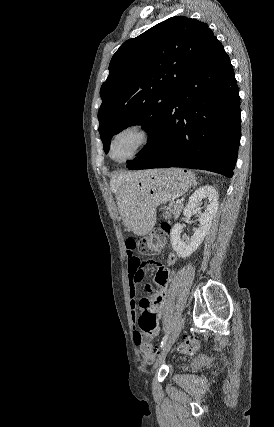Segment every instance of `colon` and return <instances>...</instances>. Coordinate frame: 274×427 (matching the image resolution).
Instances as JSON below:
<instances>
[{
    "label": "colon",
    "instance_id": "obj_1",
    "mask_svg": "<svg viewBox=\"0 0 274 427\" xmlns=\"http://www.w3.org/2000/svg\"><path fill=\"white\" fill-rule=\"evenodd\" d=\"M170 226L168 223H161L155 227L151 232L140 239V244L137 245V253L141 259H147V256L156 253L157 248H167L166 242L169 234ZM199 347V341L192 337H187L178 347V351L184 354H191ZM141 358L144 361L147 360L148 364L156 363V356L152 346L142 345L141 346Z\"/></svg>",
    "mask_w": 274,
    "mask_h": 427
}]
</instances>
